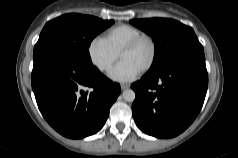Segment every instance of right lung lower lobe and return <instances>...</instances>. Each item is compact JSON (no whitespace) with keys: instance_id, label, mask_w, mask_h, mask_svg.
Instances as JSON below:
<instances>
[{"instance_id":"right-lung-lower-lobe-1","label":"right lung lower lobe","mask_w":238,"mask_h":158,"mask_svg":"<svg viewBox=\"0 0 238 158\" xmlns=\"http://www.w3.org/2000/svg\"><path fill=\"white\" fill-rule=\"evenodd\" d=\"M32 89L46 121L60 134L79 139L98 132L120 85L93 65L47 49L33 57Z\"/></svg>"}]
</instances>
